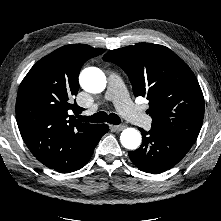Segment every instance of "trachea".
<instances>
[{"instance_id": "obj_1", "label": "trachea", "mask_w": 221, "mask_h": 221, "mask_svg": "<svg viewBox=\"0 0 221 221\" xmlns=\"http://www.w3.org/2000/svg\"><path fill=\"white\" fill-rule=\"evenodd\" d=\"M78 118L80 122H95V123L108 122L110 124H115V125H118L121 123V119L118 115L114 113H110L108 115L104 111L95 113L92 116H79Z\"/></svg>"}]
</instances>
